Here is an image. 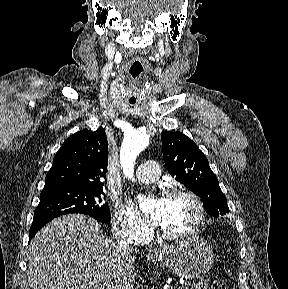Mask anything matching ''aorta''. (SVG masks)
Here are the masks:
<instances>
[{
  "mask_svg": "<svg viewBox=\"0 0 288 289\" xmlns=\"http://www.w3.org/2000/svg\"><path fill=\"white\" fill-rule=\"evenodd\" d=\"M149 143V137L143 132H134L126 137L120 150V162L123 173L126 177L132 178L134 173V163L137 156ZM154 203L149 198H139V207L143 211H151Z\"/></svg>",
  "mask_w": 288,
  "mask_h": 289,
  "instance_id": "obj_1",
  "label": "aorta"
}]
</instances>
